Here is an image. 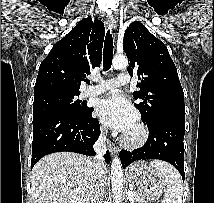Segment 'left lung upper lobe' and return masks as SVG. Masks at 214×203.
Segmentation results:
<instances>
[{
	"label": "left lung upper lobe",
	"instance_id": "1",
	"mask_svg": "<svg viewBox=\"0 0 214 203\" xmlns=\"http://www.w3.org/2000/svg\"><path fill=\"white\" fill-rule=\"evenodd\" d=\"M123 47L130 59L128 73L140 80L137 87L141 90L133 95L142 120L150 123L166 114L185 115L183 89L164 43L134 21L125 31Z\"/></svg>",
	"mask_w": 214,
	"mask_h": 203
}]
</instances>
